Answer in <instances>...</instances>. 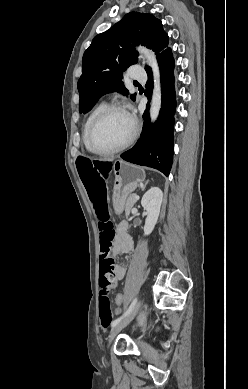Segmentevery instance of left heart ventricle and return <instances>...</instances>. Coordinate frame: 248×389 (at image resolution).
Returning <instances> with one entry per match:
<instances>
[{"mask_svg": "<svg viewBox=\"0 0 248 389\" xmlns=\"http://www.w3.org/2000/svg\"><path fill=\"white\" fill-rule=\"evenodd\" d=\"M132 129V121L125 113L111 111L95 128L93 145L102 150L113 149L130 137Z\"/></svg>", "mask_w": 248, "mask_h": 389, "instance_id": "b2bd125f", "label": "left heart ventricle"}]
</instances>
